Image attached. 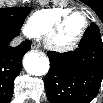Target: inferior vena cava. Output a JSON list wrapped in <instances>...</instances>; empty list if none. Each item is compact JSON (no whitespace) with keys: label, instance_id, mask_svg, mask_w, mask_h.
Listing matches in <instances>:
<instances>
[{"label":"inferior vena cava","instance_id":"602c4592","mask_svg":"<svg viewBox=\"0 0 103 103\" xmlns=\"http://www.w3.org/2000/svg\"><path fill=\"white\" fill-rule=\"evenodd\" d=\"M22 42V38L18 37L14 41L11 42V46H17Z\"/></svg>","mask_w":103,"mask_h":103}]
</instances>
